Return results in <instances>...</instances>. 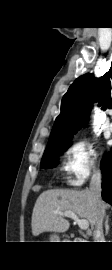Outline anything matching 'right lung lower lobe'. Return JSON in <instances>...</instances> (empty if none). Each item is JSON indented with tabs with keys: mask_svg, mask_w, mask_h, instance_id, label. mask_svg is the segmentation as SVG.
<instances>
[{
	"mask_svg": "<svg viewBox=\"0 0 112 270\" xmlns=\"http://www.w3.org/2000/svg\"><path fill=\"white\" fill-rule=\"evenodd\" d=\"M101 170L103 174L102 198L112 205V152L103 157Z\"/></svg>",
	"mask_w": 112,
	"mask_h": 270,
	"instance_id": "1",
	"label": "right lung lower lobe"
}]
</instances>
